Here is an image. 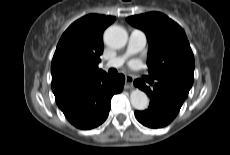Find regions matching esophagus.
Returning a JSON list of instances; mask_svg holds the SVG:
<instances>
[{
  "label": "esophagus",
  "instance_id": "34e87169",
  "mask_svg": "<svg viewBox=\"0 0 230 155\" xmlns=\"http://www.w3.org/2000/svg\"><path fill=\"white\" fill-rule=\"evenodd\" d=\"M134 77L131 75L125 76V88L132 89L133 88Z\"/></svg>",
  "mask_w": 230,
  "mask_h": 155
}]
</instances>
